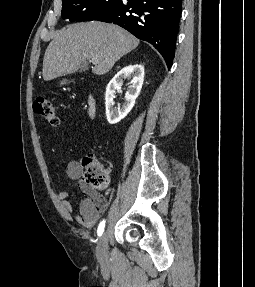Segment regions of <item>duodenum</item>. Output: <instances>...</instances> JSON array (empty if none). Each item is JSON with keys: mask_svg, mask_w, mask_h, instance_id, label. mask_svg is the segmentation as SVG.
Instances as JSON below:
<instances>
[{"mask_svg": "<svg viewBox=\"0 0 255 287\" xmlns=\"http://www.w3.org/2000/svg\"><path fill=\"white\" fill-rule=\"evenodd\" d=\"M97 100L94 95H89L87 99V113L90 118H95L97 115Z\"/></svg>", "mask_w": 255, "mask_h": 287, "instance_id": "obj_1", "label": "duodenum"}]
</instances>
